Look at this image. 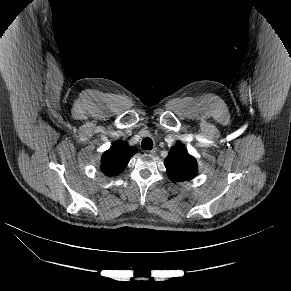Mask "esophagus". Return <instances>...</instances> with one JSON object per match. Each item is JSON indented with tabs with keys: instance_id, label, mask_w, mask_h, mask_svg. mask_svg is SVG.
<instances>
[{
	"instance_id": "obj_1",
	"label": "esophagus",
	"mask_w": 291,
	"mask_h": 291,
	"mask_svg": "<svg viewBox=\"0 0 291 291\" xmlns=\"http://www.w3.org/2000/svg\"><path fill=\"white\" fill-rule=\"evenodd\" d=\"M150 155H155L156 154V149H152L151 151L147 152Z\"/></svg>"
}]
</instances>
